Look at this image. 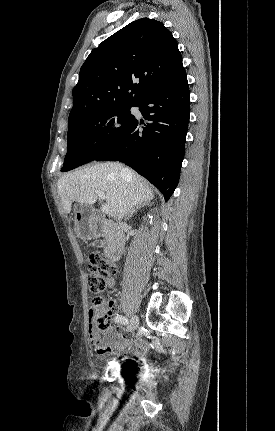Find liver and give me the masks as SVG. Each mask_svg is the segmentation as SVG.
Here are the masks:
<instances>
[{"instance_id":"6515ba94","label":"liver","mask_w":275,"mask_h":431,"mask_svg":"<svg viewBox=\"0 0 275 431\" xmlns=\"http://www.w3.org/2000/svg\"><path fill=\"white\" fill-rule=\"evenodd\" d=\"M57 190L67 214L75 201L92 206L98 196L95 190H101L110 207V216L118 219L154 198L151 186L143 177L117 162L96 163L63 175Z\"/></svg>"}]
</instances>
